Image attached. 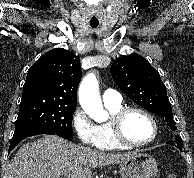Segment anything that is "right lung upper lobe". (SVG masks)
I'll return each instance as SVG.
<instances>
[{
	"label": "right lung upper lobe",
	"mask_w": 194,
	"mask_h": 178,
	"mask_svg": "<svg viewBox=\"0 0 194 178\" xmlns=\"http://www.w3.org/2000/svg\"><path fill=\"white\" fill-rule=\"evenodd\" d=\"M79 62L78 56L63 48L48 51L28 70L22 100L46 97L77 104Z\"/></svg>",
	"instance_id": "obj_1"
}]
</instances>
